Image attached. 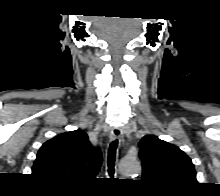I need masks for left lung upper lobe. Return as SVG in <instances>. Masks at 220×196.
I'll list each match as a JSON object with an SVG mask.
<instances>
[{"mask_svg":"<svg viewBox=\"0 0 220 196\" xmlns=\"http://www.w3.org/2000/svg\"><path fill=\"white\" fill-rule=\"evenodd\" d=\"M143 181L162 193H181L197 183L191 159L177 146L146 135L139 142Z\"/></svg>","mask_w":220,"mask_h":196,"instance_id":"5c2ea615","label":"left lung upper lobe"}]
</instances>
